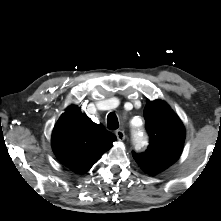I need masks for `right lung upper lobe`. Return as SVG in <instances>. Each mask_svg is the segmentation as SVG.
<instances>
[{"instance_id":"1","label":"right lung upper lobe","mask_w":221,"mask_h":221,"mask_svg":"<svg viewBox=\"0 0 221 221\" xmlns=\"http://www.w3.org/2000/svg\"><path fill=\"white\" fill-rule=\"evenodd\" d=\"M116 136L71 105L60 117L52 134L57 158L77 173L89 170L112 147Z\"/></svg>"}]
</instances>
